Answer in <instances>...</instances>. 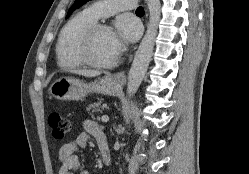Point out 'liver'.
Wrapping results in <instances>:
<instances>
[{
    "label": "liver",
    "mask_w": 249,
    "mask_h": 174,
    "mask_svg": "<svg viewBox=\"0 0 249 174\" xmlns=\"http://www.w3.org/2000/svg\"><path fill=\"white\" fill-rule=\"evenodd\" d=\"M70 72L85 77H96L100 75L99 71H94V70H71Z\"/></svg>",
    "instance_id": "6515ba94"
}]
</instances>
